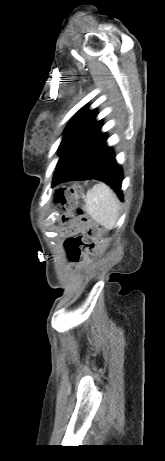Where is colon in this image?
Masks as SVG:
<instances>
[{
	"instance_id": "colon-1",
	"label": "colon",
	"mask_w": 165,
	"mask_h": 461,
	"mask_svg": "<svg viewBox=\"0 0 165 461\" xmlns=\"http://www.w3.org/2000/svg\"><path fill=\"white\" fill-rule=\"evenodd\" d=\"M79 192V188L77 186L71 188H63L58 190L56 193V201L60 203L64 208L70 209L74 204V197ZM71 214L67 213L63 216V221H67L71 219ZM80 220L84 224L90 226V229L93 230V234L99 236L100 235V227L92 225L89 218L83 214H80ZM84 248L92 250L94 249V243L91 240L89 242H85Z\"/></svg>"
}]
</instances>
